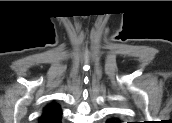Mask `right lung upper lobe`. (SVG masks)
Wrapping results in <instances>:
<instances>
[{
  "label": "right lung upper lobe",
  "mask_w": 172,
  "mask_h": 123,
  "mask_svg": "<svg viewBox=\"0 0 172 123\" xmlns=\"http://www.w3.org/2000/svg\"><path fill=\"white\" fill-rule=\"evenodd\" d=\"M61 109L58 104L52 103L44 108L40 123H60Z\"/></svg>",
  "instance_id": "obj_1"
}]
</instances>
